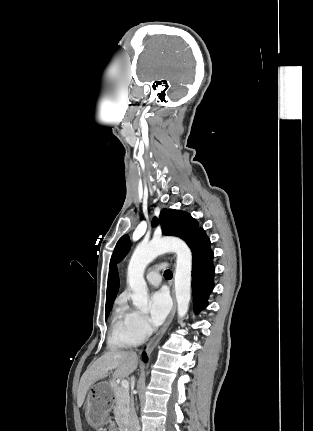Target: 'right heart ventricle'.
<instances>
[{
    "mask_svg": "<svg viewBox=\"0 0 313 431\" xmlns=\"http://www.w3.org/2000/svg\"><path fill=\"white\" fill-rule=\"evenodd\" d=\"M132 312L123 301L118 302L112 319V329L109 336L110 347L117 349L129 348L141 341L133 332L131 326Z\"/></svg>",
    "mask_w": 313,
    "mask_h": 431,
    "instance_id": "e07e8e85",
    "label": "right heart ventricle"
}]
</instances>
